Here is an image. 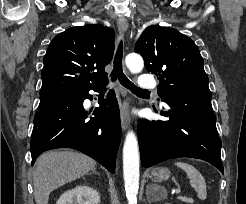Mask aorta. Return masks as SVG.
Segmentation results:
<instances>
[{
    "mask_svg": "<svg viewBox=\"0 0 246 204\" xmlns=\"http://www.w3.org/2000/svg\"><path fill=\"white\" fill-rule=\"evenodd\" d=\"M125 63L131 73H139L144 67L143 58L131 53L126 56ZM139 147L135 133L129 131L123 146L124 183L128 204L137 203L139 189Z\"/></svg>",
    "mask_w": 246,
    "mask_h": 204,
    "instance_id": "762f6f07",
    "label": "aorta"
}]
</instances>
